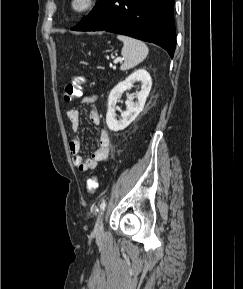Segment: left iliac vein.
<instances>
[{"mask_svg":"<svg viewBox=\"0 0 243 289\" xmlns=\"http://www.w3.org/2000/svg\"><path fill=\"white\" fill-rule=\"evenodd\" d=\"M103 215H100L96 221L94 233L95 234H101L103 232Z\"/></svg>","mask_w":243,"mask_h":289,"instance_id":"left-iliac-vein-1","label":"left iliac vein"}]
</instances>
